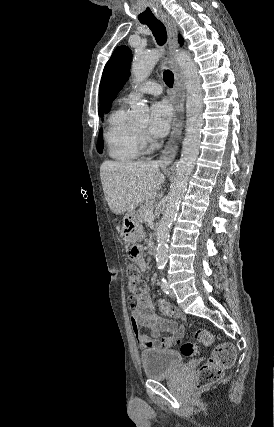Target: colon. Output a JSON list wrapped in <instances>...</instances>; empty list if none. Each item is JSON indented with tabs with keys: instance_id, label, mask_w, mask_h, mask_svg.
<instances>
[{
	"instance_id": "1",
	"label": "colon",
	"mask_w": 274,
	"mask_h": 427,
	"mask_svg": "<svg viewBox=\"0 0 274 427\" xmlns=\"http://www.w3.org/2000/svg\"><path fill=\"white\" fill-rule=\"evenodd\" d=\"M144 256V249L140 245H131V259L138 260ZM128 290L130 293L129 304L135 303V297L142 292L144 283L140 278V271L135 266L127 267ZM197 344L208 346L214 342L211 331L206 329H197L195 332ZM197 349L196 343L185 342L181 344V353L184 358L195 356ZM237 353L235 347L226 341L217 342L212 350L211 358L200 366L196 376V386L200 390L208 389L212 384L218 383L223 379L224 372L232 367L236 361Z\"/></svg>"
}]
</instances>
